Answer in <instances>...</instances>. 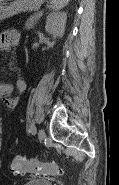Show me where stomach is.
I'll use <instances>...</instances> for the list:
<instances>
[{"mask_svg": "<svg viewBox=\"0 0 119 185\" xmlns=\"http://www.w3.org/2000/svg\"><path fill=\"white\" fill-rule=\"evenodd\" d=\"M7 1L0 0V21L21 12L37 11L45 2V0H14L7 5Z\"/></svg>", "mask_w": 119, "mask_h": 185, "instance_id": "0dacf381", "label": "stomach"}]
</instances>
